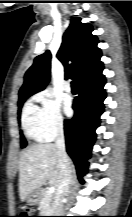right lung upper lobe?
Listing matches in <instances>:
<instances>
[{
  "label": "right lung upper lobe",
  "instance_id": "right-lung-upper-lobe-1",
  "mask_svg": "<svg viewBox=\"0 0 132 217\" xmlns=\"http://www.w3.org/2000/svg\"><path fill=\"white\" fill-rule=\"evenodd\" d=\"M92 31L93 27L88 23H82L80 18L71 19L57 53V58L65 68V79H76L78 84H81L103 77L104 66L100 61L102 53L97 47L98 39L91 34ZM50 67L49 51L34 59L33 65L25 73L24 83L19 90V99L28 98L46 87L50 79Z\"/></svg>",
  "mask_w": 132,
  "mask_h": 217
}]
</instances>
